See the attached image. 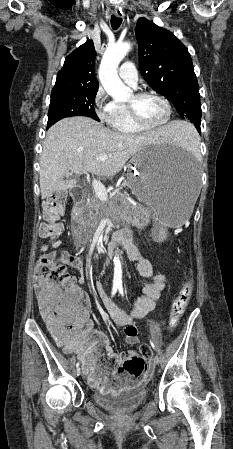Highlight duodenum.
Wrapping results in <instances>:
<instances>
[{"instance_id":"duodenum-1","label":"duodenum","mask_w":233,"mask_h":449,"mask_svg":"<svg viewBox=\"0 0 233 449\" xmlns=\"http://www.w3.org/2000/svg\"><path fill=\"white\" fill-rule=\"evenodd\" d=\"M73 201H74V216L78 214V208L85 201L87 197L86 191H84L81 187H76L72 192ZM123 247L128 253H134V249L130 243V239L126 230H121L120 232L115 233L112 240L107 244V248L105 251L106 256H112L116 247ZM97 291V290H96ZM98 292V291H97Z\"/></svg>"}]
</instances>
